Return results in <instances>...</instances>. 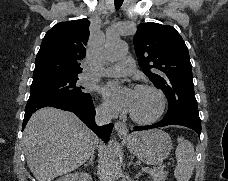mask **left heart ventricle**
Masks as SVG:
<instances>
[{"label": "left heart ventricle", "instance_id": "b2bd125f", "mask_svg": "<svg viewBox=\"0 0 228 181\" xmlns=\"http://www.w3.org/2000/svg\"><path fill=\"white\" fill-rule=\"evenodd\" d=\"M123 73L116 72L114 77L118 80V83L122 86L127 85L123 81ZM133 92V106L132 111L135 115L139 117H148L156 109L158 104L157 96L154 92L149 89H134Z\"/></svg>", "mask_w": 228, "mask_h": 181}]
</instances>
